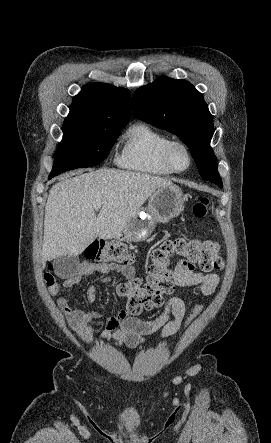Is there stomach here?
Instances as JSON below:
<instances>
[{
	"mask_svg": "<svg viewBox=\"0 0 271 443\" xmlns=\"http://www.w3.org/2000/svg\"><path fill=\"white\" fill-rule=\"evenodd\" d=\"M184 198L181 188L170 184L158 188L149 198L148 208L131 218L116 239L120 241H143L154 231L157 222H169L182 212Z\"/></svg>",
	"mask_w": 271,
	"mask_h": 443,
	"instance_id": "stomach-1",
	"label": "stomach"
}]
</instances>
